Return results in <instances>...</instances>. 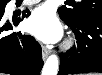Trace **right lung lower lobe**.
Returning a JSON list of instances; mask_svg holds the SVG:
<instances>
[{"label":"right lung lower lobe","mask_w":102,"mask_h":75,"mask_svg":"<svg viewBox=\"0 0 102 75\" xmlns=\"http://www.w3.org/2000/svg\"><path fill=\"white\" fill-rule=\"evenodd\" d=\"M6 4L8 1H5ZM5 4V5H6ZM22 16L13 17V20L5 22L2 17L4 10L0 9V72L11 75H39L42 67L41 46L30 35H22L20 32L6 35L21 20L30 15L27 10ZM2 32V33H1Z\"/></svg>","instance_id":"right-lung-lower-lobe-1"}]
</instances>
